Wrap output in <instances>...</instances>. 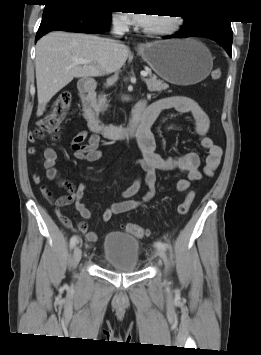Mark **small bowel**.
I'll return each mask as SVG.
<instances>
[{"label": "small bowel", "mask_w": 261, "mask_h": 355, "mask_svg": "<svg viewBox=\"0 0 261 355\" xmlns=\"http://www.w3.org/2000/svg\"><path fill=\"white\" fill-rule=\"evenodd\" d=\"M142 105V113L146 119L153 123L161 112L173 109L182 114H190L195 123V133L200 138L202 147L206 150L207 156L203 171H200V158L196 152H188L181 156L162 157L156 152V141L150 128L140 131L137 134L139 148L142 153V158L137 161V165L144 172V177H138L134 182L125 189L119 199L111 204L102 215L104 221H110L115 215L122 214L136 209L141 204L149 202L155 196L156 171H173L177 170L185 175L176 183L178 191H187L192 182H197L204 175L212 176L218 168L222 149L216 145L208 135L210 127V119L206 112L199 104L191 98L185 96H171L160 99L150 105L145 101L140 102ZM135 111V109H134ZM29 141L33 142L34 137L29 136ZM87 141V143H85ZM100 137L98 135L88 136L87 130L80 131L71 141V149L74 158L88 162H94L102 157V152L99 150ZM37 153L35 147L28 149L29 155ZM57 153L53 148L44 150V168L46 170L47 179L56 183L59 187L66 190L67 194L54 199L52 192L42 183V178L38 172L32 173V180L39 185V189L43 197L54 203L57 208H62L73 204L83 219L91 218V211L82 202L85 195L86 185L81 183L75 186L71 181L63 179L60 176L58 169L55 167ZM142 183L148 187V191L142 200H134L132 197L136 195ZM49 192V197L46 195ZM57 216L60 222L71 231H79L84 235L87 241L95 242L98 238L97 233L88 229V225L81 221L74 223L69 217L57 211Z\"/></svg>", "instance_id": "obj_1"}]
</instances>
